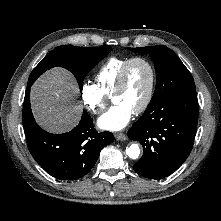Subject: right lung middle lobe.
I'll list each match as a JSON object with an SVG mask.
<instances>
[{"label":"right lung middle lobe","mask_w":221,"mask_h":221,"mask_svg":"<svg viewBox=\"0 0 221 221\" xmlns=\"http://www.w3.org/2000/svg\"><path fill=\"white\" fill-rule=\"evenodd\" d=\"M112 50L110 46L103 47H75L62 45L53 49L34 68L28 84L33 82L46 70L52 67H63L71 71L76 77L82 90L83 80L86 75L107 56Z\"/></svg>","instance_id":"dd1d6c3e"}]
</instances>
